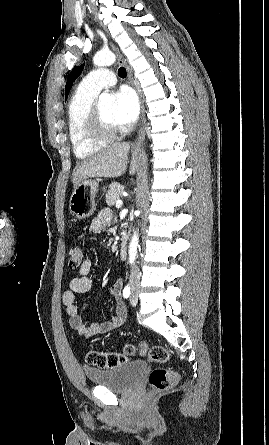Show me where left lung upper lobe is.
<instances>
[{
	"label": "left lung upper lobe",
	"mask_w": 269,
	"mask_h": 445,
	"mask_svg": "<svg viewBox=\"0 0 269 445\" xmlns=\"http://www.w3.org/2000/svg\"><path fill=\"white\" fill-rule=\"evenodd\" d=\"M83 68H84V65H81V66L74 67L73 70L71 71V73L67 79V83H66V87H65V100L68 97V93L73 85V82L81 74Z\"/></svg>",
	"instance_id": "5c2ea615"
}]
</instances>
